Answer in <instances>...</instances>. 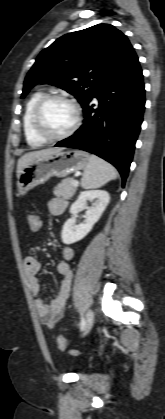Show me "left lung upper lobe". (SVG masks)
I'll return each mask as SVG.
<instances>
[{"mask_svg":"<svg viewBox=\"0 0 165 419\" xmlns=\"http://www.w3.org/2000/svg\"><path fill=\"white\" fill-rule=\"evenodd\" d=\"M133 53L127 37L109 24L66 34L39 54L21 96L36 84H50L74 95L83 108L101 82Z\"/></svg>","mask_w":165,"mask_h":419,"instance_id":"5c2ea615","label":"left lung upper lobe"}]
</instances>
